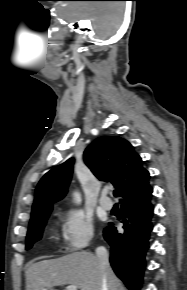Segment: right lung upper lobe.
<instances>
[{
	"label": "right lung upper lobe",
	"instance_id": "cb5924a9",
	"mask_svg": "<svg viewBox=\"0 0 187 290\" xmlns=\"http://www.w3.org/2000/svg\"><path fill=\"white\" fill-rule=\"evenodd\" d=\"M84 160L98 179L111 181L121 196V205L139 202L152 195L149 172L142 167L141 157L125 139L117 136L97 138L85 150ZM73 162L72 158L67 160L40 180L30 222L51 212L52 203L64 197L71 179Z\"/></svg>",
	"mask_w": 187,
	"mask_h": 290
}]
</instances>
